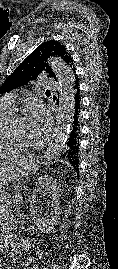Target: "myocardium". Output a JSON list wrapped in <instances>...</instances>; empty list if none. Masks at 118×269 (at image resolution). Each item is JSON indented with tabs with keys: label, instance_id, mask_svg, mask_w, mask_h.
<instances>
[{
	"label": "myocardium",
	"instance_id": "myocardium-1",
	"mask_svg": "<svg viewBox=\"0 0 118 269\" xmlns=\"http://www.w3.org/2000/svg\"><path fill=\"white\" fill-rule=\"evenodd\" d=\"M19 117H21V116L18 115V114L12 115L11 118L9 119V121H8L7 129H8L10 138L12 140L17 141L18 143H20L22 148H23L24 145H31L30 142H28L23 137H20L17 134H15L13 129H12V125H13L14 121Z\"/></svg>",
	"mask_w": 118,
	"mask_h": 269
}]
</instances>
